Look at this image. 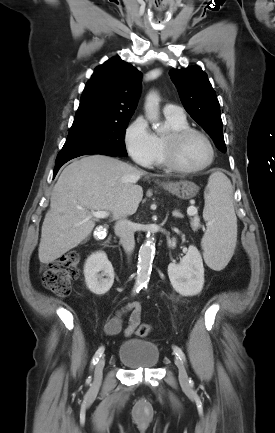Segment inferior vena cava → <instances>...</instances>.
<instances>
[{"instance_id": "1", "label": "inferior vena cava", "mask_w": 275, "mask_h": 433, "mask_svg": "<svg viewBox=\"0 0 275 433\" xmlns=\"http://www.w3.org/2000/svg\"><path fill=\"white\" fill-rule=\"evenodd\" d=\"M115 234L120 238V242L126 253L131 254L135 248L134 225L128 219H119L114 226Z\"/></svg>"}]
</instances>
